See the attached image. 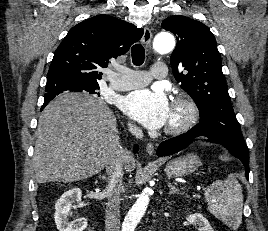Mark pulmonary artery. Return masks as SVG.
<instances>
[{"label":"pulmonary artery","instance_id":"pulmonary-artery-1","mask_svg":"<svg viewBox=\"0 0 268 231\" xmlns=\"http://www.w3.org/2000/svg\"><path fill=\"white\" fill-rule=\"evenodd\" d=\"M151 73L144 70L129 69L120 74L113 71L109 78V87L114 91H127L145 86L149 83L151 77L163 79L166 76L167 67L163 62H153Z\"/></svg>","mask_w":268,"mask_h":231}]
</instances>
